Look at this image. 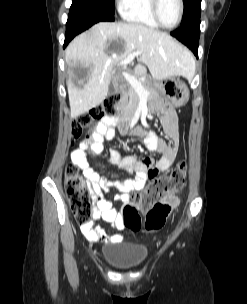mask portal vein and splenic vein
<instances>
[{
	"label": "portal vein and splenic vein",
	"mask_w": 247,
	"mask_h": 304,
	"mask_svg": "<svg viewBox=\"0 0 247 304\" xmlns=\"http://www.w3.org/2000/svg\"><path fill=\"white\" fill-rule=\"evenodd\" d=\"M140 55V52H132L130 53L124 60H122L119 65L125 66L129 64L133 59ZM122 75L124 78L130 83V85L134 88V90L138 93L139 96H145L148 97L150 95V92L144 88L142 83L133 75L122 72Z\"/></svg>",
	"instance_id": "18ae733b"
}]
</instances>
